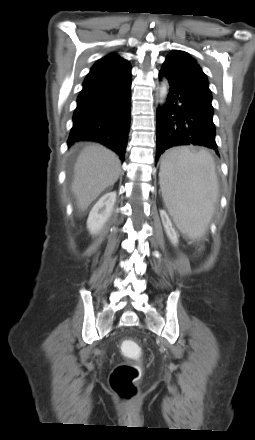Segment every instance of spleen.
Returning a JSON list of instances; mask_svg holds the SVG:
<instances>
[{
    "instance_id": "spleen-1",
    "label": "spleen",
    "mask_w": 255,
    "mask_h": 440,
    "mask_svg": "<svg viewBox=\"0 0 255 440\" xmlns=\"http://www.w3.org/2000/svg\"><path fill=\"white\" fill-rule=\"evenodd\" d=\"M160 186L178 229L191 238L202 237L218 195L213 157L187 147L168 151L161 163Z\"/></svg>"
}]
</instances>
